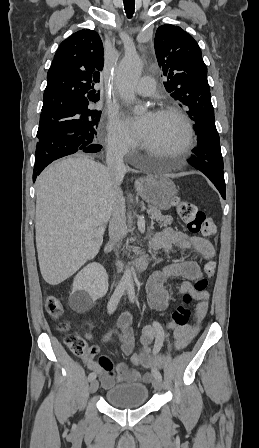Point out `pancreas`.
<instances>
[{
  "mask_svg": "<svg viewBox=\"0 0 259 448\" xmlns=\"http://www.w3.org/2000/svg\"><path fill=\"white\" fill-rule=\"evenodd\" d=\"M147 212L151 220L158 222L160 228H167V226L173 222L172 216H162L160 210H157V208H149ZM132 250L133 252H136V254H140L139 248H132Z\"/></svg>",
  "mask_w": 259,
  "mask_h": 448,
  "instance_id": "cf45deb5",
  "label": "pancreas"
}]
</instances>
